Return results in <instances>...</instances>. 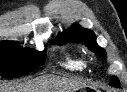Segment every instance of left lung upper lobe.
Here are the masks:
<instances>
[{"label":"left lung upper lobe","mask_w":127,"mask_h":92,"mask_svg":"<svg viewBox=\"0 0 127 92\" xmlns=\"http://www.w3.org/2000/svg\"><path fill=\"white\" fill-rule=\"evenodd\" d=\"M71 42L83 43L94 53L106 54L105 50L97 44L94 32L82 28L76 24H74L67 31L59 34L55 40L57 45ZM110 84L112 86L118 87L119 81L115 76H112L110 79Z\"/></svg>","instance_id":"1"}]
</instances>
